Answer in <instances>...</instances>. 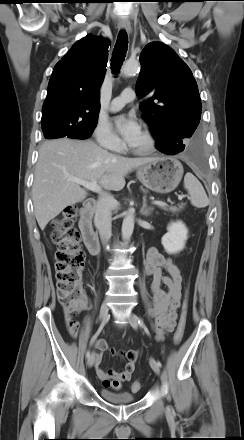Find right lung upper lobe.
Listing matches in <instances>:
<instances>
[{
	"label": "right lung upper lobe",
	"instance_id": "right-lung-upper-lobe-1",
	"mask_svg": "<svg viewBox=\"0 0 244 440\" xmlns=\"http://www.w3.org/2000/svg\"><path fill=\"white\" fill-rule=\"evenodd\" d=\"M108 47V40L87 35L56 64L42 107V121L65 120L80 125L97 120Z\"/></svg>",
	"mask_w": 244,
	"mask_h": 440
}]
</instances>
